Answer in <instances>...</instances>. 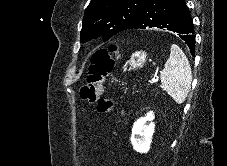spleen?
Segmentation results:
<instances>
[{
	"label": "spleen",
	"mask_w": 227,
	"mask_h": 166,
	"mask_svg": "<svg viewBox=\"0 0 227 166\" xmlns=\"http://www.w3.org/2000/svg\"><path fill=\"white\" fill-rule=\"evenodd\" d=\"M191 81L189 61L184 52L173 44L170 56L161 71V87L176 103L182 104L188 95Z\"/></svg>",
	"instance_id": "spleen-1"
}]
</instances>
